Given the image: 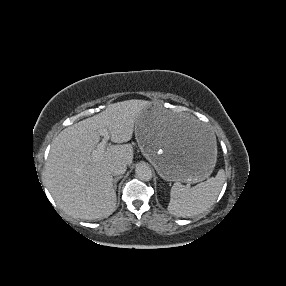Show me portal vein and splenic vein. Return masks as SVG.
Instances as JSON below:
<instances>
[{"label":"portal vein and splenic vein","instance_id":"obj_1","mask_svg":"<svg viewBox=\"0 0 286 286\" xmlns=\"http://www.w3.org/2000/svg\"><path fill=\"white\" fill-rule=\"evenodd\" d=\"M99 133L101 136H103L102 141L97 145V149L92 151V159L94 161L98 160L106 150V144L108 140L110 139V134L106 128L100 129Z\"/></svg>","mask_w":286,"mask_h":286}]
</instances>
